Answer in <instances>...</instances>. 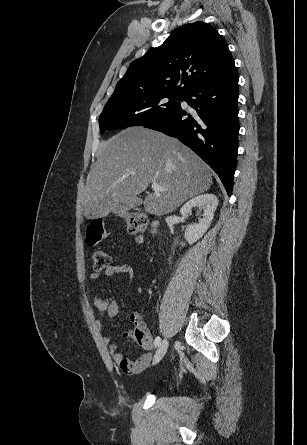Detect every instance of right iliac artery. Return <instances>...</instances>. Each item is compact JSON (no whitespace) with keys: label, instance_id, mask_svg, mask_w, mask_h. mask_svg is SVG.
<instances>
[{"label":"right iliac artery","instance_id":"obj_1","mask_svg":"<svg viewBox=\"0 0 307 445\" xmlns=\"http://www.w3.org/2000/svg\"><path fill=\"white\" fill-rule=\"evenodd\" d=\"M160 341H161L160 337L159 336L156 337L154 340V346L157 347L160 344Z\"/></svg>","mask_w":307,"mask_h":445}]
</instances>
